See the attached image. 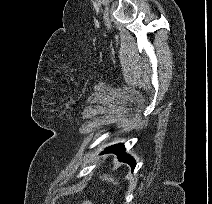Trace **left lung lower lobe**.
I'll return each instance as SVG.
<instances>
[{
    "mask_svg": "<svg viewBox=\"0 0 212 204\" xmlns=\"http://www.w3.org/2000/svg\"><path fill=\"white\" fill-rule=\"evenodd\" d=\"M103 153H115L119 157V161L129 163L132 167V170H134L136 163L130 155L125 153L123 144H116L106 148Z\"/></svg>",
    "mask_w": 212,
    "mask_h": 204,
    "instance_id": "left-lung-lower-lobe-1",
    "label": "left lung lower lobe"
}]
</instances>
